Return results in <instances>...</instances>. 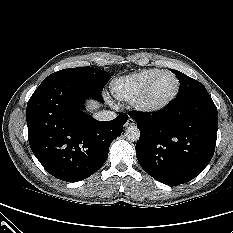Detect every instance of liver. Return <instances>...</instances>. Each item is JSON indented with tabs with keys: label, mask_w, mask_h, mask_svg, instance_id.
Returning a JSON list of instances; mask_svg holds the SVG:
<instances>
[{
	"label": "liver",
	"mask_w": 233,
	"mask_h": 233,
	"mask_svg": "<svg viewBox=\"0 0 233 233\" xmlns=\"http://www.w3.org/2000/svg\"><path fill=\"white\" fill-rule=\"evenodd\" d=\"M98 107H99V105L93 103V104L90 106V110L97 109Z\"/></svg>",
	"instance_id": "liver-1"
}]
</instances>
